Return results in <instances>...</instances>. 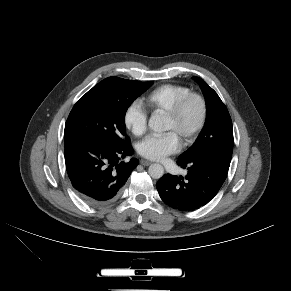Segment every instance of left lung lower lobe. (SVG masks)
I'll return each instance as SVG.
<instances>
[{
    "mask_svg": "<svg viewBox=\"0 0 291 291\" xmlns=\"http://www.w3.org/2000/svg\"><path fill=\"white\" fill-rule=\"evenodd\" d=\"M231 160L209 156L178 160L187 175L165 174L157 183L161 199L170 207L193 211L206 205L219 191L226 179Z\"/></svg>",
    "mask_w": 291,
    "mask_h": 291,
    "instance_id": "obj_1",
    "label": "left lung lower lobe"
}]
</instances>
